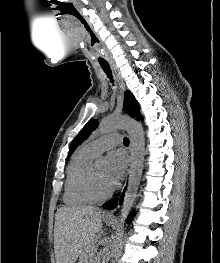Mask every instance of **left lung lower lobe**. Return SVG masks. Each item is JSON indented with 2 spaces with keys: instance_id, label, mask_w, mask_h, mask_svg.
Returning a JSON list of instances; mask_svg holds the SVG:
<instances>
[{
  "instance_id": "left-lung-lower-lobe-1",
  "label": "left lung lower lobe",
  "mask_w": 220,
  "mask_h": 263,
  "mask_svg": "<svg viewBox=\"0 0 220 263\" xmlns=\"http://www.w3.org/2000/svg\"><path fill=\"white\" fill-rule=\"evenodd\" d=\"M123 195L121 196V199H120V203L122 202L123 200ZM117 201H118V197H115L109 201H107L104 205H103V208L105 209H113L116 205H117Z\"/></svg>"
}]
</instances>
